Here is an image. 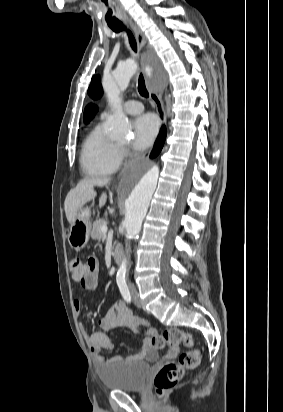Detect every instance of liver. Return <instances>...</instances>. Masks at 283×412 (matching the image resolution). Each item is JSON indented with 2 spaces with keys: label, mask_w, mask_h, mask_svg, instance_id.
Masks as SVG:
<instances>
[{
  "label": "liver",
  "mask_w": 283,
  "mask_h": 412,
  "mask_svg": "<svg viewBox=\"0 0 283 412\" xmlns=\"http://www.w3.org/2000/svg\"><path fill=\"white\" fill-rule=\"evenodd\" d=\"M109 181L110 178H86L80 181L74 189L69 191L64 202V208L67 220L71 225L76 219L78 210L96 197L97 194L94 186L103 187L107 185ZM105 202L106 194H103L100 205L103 206Z\"/></svg>",
  "instance_id": "liver-1"
}]
</instances>
